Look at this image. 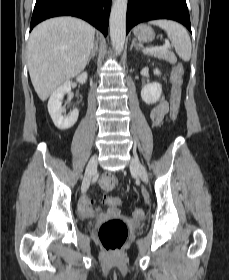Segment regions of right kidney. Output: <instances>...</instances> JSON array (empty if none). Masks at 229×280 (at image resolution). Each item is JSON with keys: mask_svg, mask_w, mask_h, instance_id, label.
I'll return each instance as SVG.
<instances>
[{"mask_svg": "<svg viewBox=\"0 0 229 280\" xmlns=\"http://www.w3.org/2000/svg\"><path fill=\"white\" fill-rule=\"evenodd\" d=\"M87 77V73L84 72L80 74L76 80L79 83L84 84L87 80ZM70 90L71 82L66 81L52 93L48 101V112L52 118V121L54 125L61 130H67L71 128L76 123L79 115L77 108H74L67 116L62 114L61 100Z\"/></svg>", "mask_w": 229, "mask_h": 280, "instance_id": "1", "label": "right kidney"}]
</instances>
